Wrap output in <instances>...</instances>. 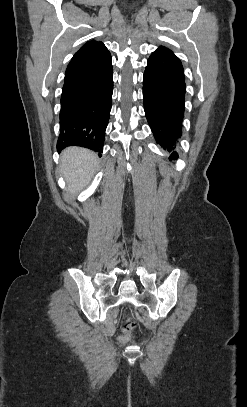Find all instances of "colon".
I'll return each instance as SVG.
<instances>
[{"instance_id": "5ec220e1", "label": "colon", "mask_w": 247, "mask_h": 407, "mask_svg": "<svg viewBox=\"0 0 247 407\" xmlns=\"http://www.w3.org/2000/svg\"><path fill=\"white\" fill-rule=\"evenodd\" d=\"M136 328V323L133 320H128L123 326L124 337L121 338L122 341L126 340V335Z\"/></svg>"}]
</instances>
